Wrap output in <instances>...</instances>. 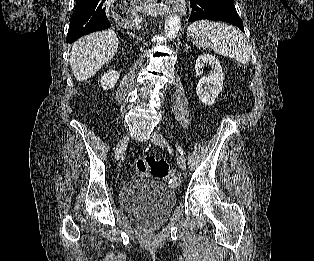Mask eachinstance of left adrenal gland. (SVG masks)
<instances>
[{"label":"left adrenal gland","mask_w":314,"mask_h":261,"mask_svg":"<svg viewBox=\"0 0 314 261\" xmlns=\"http://www.w3.org/2000/svg\"><path fill=\"white\" fill-rule=\"evenodd\" d=\"M185 47H186V50L190 48L187 44L185 45Z\"/></svg>","instance_id":"left-adrenal-gland-1"}]
</instances>
